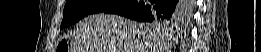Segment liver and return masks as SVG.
I'll list each match as a JSON object with an SVG mask.
<instances>
[{"label": "liver", "instance_id": "6515ba94", "mask_svg": "<svg viewBox=\"0 0 261 52\" xmlns=\"http://www.w3.org/2000/svg\"><path fill=\"white\" fill-rule=\"evenodd\" d=\"M167 29L109 14L85 17L76 31L72 52H164Z\"/></svg>", "mask_w": 261, "mask_h": 52}]
</instances>
